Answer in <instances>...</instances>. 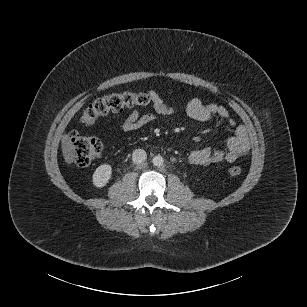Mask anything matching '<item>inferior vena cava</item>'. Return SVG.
I'll list each match as a JSON object with an SVG mask.
<instances>
[{
    "instance_id": "1",
    "label": "inferior vena cava",
    "mask_w": 307,
    "mask_h": 307,
    "mask_svg": "<svg viewBox=\"0 0 307 307\" xmlns=\"http://www.w3.org/2000/svg\"><path fill=\"white\" fill-rule=\"evenodd\" d=\"M147 159L145 150L136 149L133 151L132 161L136 164L143 163Z\"/></svg>"
}]
</instances>
